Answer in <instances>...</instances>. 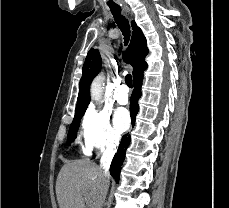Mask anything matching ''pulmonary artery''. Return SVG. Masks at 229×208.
<instances>
[{
  "instance_id": "obj_1",
  "label": "pulmonary artery",
  "mask_w": 229,
  "mask_h": 208,
  "mask_svg": "<svg viewBox=\"0 0 229 208\" xmlns=\"http://www.w3.org/2000/svg\"><path fill=\"white\" fill-rule=\"evenodd\" d=\"M118 101L122 104H126L129 101V88L125 84L119 87Z\"/></svg>"
}]
</instances>
